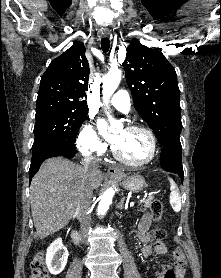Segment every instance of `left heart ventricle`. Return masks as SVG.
I'll return each mask as SVG.
<instances>
[{"label":"left heart ventricle","instance_id":"1","mask_svg":"<svg viewBox=\"0 0 221 278\" xmlns=\"http://www.w3.org/2000/svg\"><path fill=\"white\" fill-rule=\"evenodd\" d=\"M117 134L121 136V140L115 147L123 157L130 161L141 162L150 156V140L146 134L126 129L119 130Z\"/></svg>","mask_w":221,"mask_h":278}]
</instances>
